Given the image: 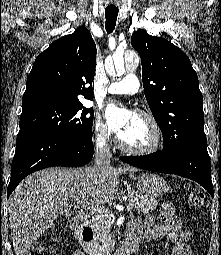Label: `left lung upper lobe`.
Masks as SVG:
<instances>
[{"label":"left lung upper lobe","mask_w":221,"mask_h":255,"mask_svg":"<svg viewBox=\"0 0 221 255\" xmlns=\"http://www.w3.org/2000/svg\"><path fill=\"white\" fill-rule=\"evenodd\" d=\"M133 48L140 54L146 100L171 155L189 144H206L203 96L188 56L166 39L138 29Z\"/></svg>","instance_id":"5c2ea615"}]
</instances>
